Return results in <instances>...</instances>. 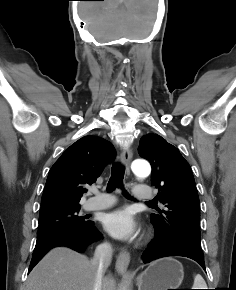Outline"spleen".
Masks as SVG:
<instances>
[{"mask_svg": "<svg viewBox=\"0 0 236 290\" xmlns=\"http://www.w3.org/2000/svg\"><path fill=\"white\" fill-rule=\"evenodd\" d=\"M206 282L200 274L195 275L193 289H207Z\"/></svg>", "mask_w": 236, "mask_h": 290, "instance_id": "obj_1", "label": "spleen"}]
</instances>
